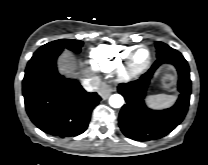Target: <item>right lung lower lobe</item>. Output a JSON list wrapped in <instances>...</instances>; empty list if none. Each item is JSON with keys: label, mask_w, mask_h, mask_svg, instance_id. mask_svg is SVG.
Returning <instances> with one entry per match:
<instances>
[{"label": "right lung lower lobe", "mask_w": 208, "mask_h": 165, "mask_svg": "<svg viewBox=\"0 0 208 165\" xmlns=\"http://www.w3.org/2000/svg\"><path fill=\"white\" fill-rule=\"evenodd\" d=\"M62 51L54 49L32 57L22 91L31 121L42 131L64 138L87 129L91 112L101 98L96 92H86L78 81L58 73L56 60Z\"/></svg>", "instance_id": "right-lung-lower-lobe-1"}]
</instances>
